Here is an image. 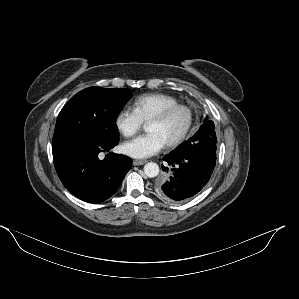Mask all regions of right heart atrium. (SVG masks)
I'll list each match as a JSON object with an SVG mask.
<instances>
[{
  "mask_svg": "<svg viewBox=\"0 0 299 299\" xmlns=\"http://www.w3.org/2000/svg\"><path fill=\"white\" fill-rule=\"evenodd\" d=\"M114 126L122 136L130 137L143 127V122L133 109L123 107L115 115Z\"/></svg>",
  "mask_w": 299,
  "mask_h": 299,
  "instance_id": "right-heart-atrium-1",
  "label": "right heart atrium"
}]
</instances>
